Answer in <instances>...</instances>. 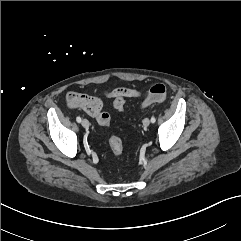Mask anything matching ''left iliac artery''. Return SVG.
Masks as SVG:
<instances>
[{"instance_id":"44dca946","label":"left iliac artery","mask_w":241,"mask_h":241,"mask_svg":"<svg viewBox=\"0 0 241 241\" xmlns=\"http://www.w3.org/2000/svg\"><path fill=\"white\" fill-rule=\"evenodd\" d=\"M155 121H156L155 117H151V122L155 123Z\"/></svg>"}]
</instances>
